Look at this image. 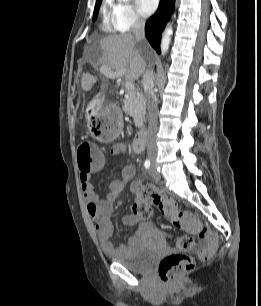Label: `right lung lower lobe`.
Listing matches in <instances>:
<instances>
[{
    "instance_id": "obj_1",
    "label": "right lung lower lobe",
    "mask_w": 261,
    "mask_h": 306,
    "mask_svg": "<svg viewBox=\"0 0 261 306\" xmlns=\"http://www.w3.org/2000/svg\"><path fill=\"white\" fill-rule=\"evenodd\" d=\"M175 7V0H160L156 13L145 24V35L152 47L160 53L161 33L170 19Z\"/></svg>"
}]
</instances>
